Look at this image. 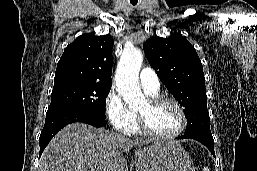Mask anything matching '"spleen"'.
<instances>
[{"instance_id":"3e777b00","label":"spleen","mask_w":257,"mask_h":171,"mask_svg":"<svg viewBox=\"0 0 257 171\" xmlns=\"http://www.w3.org/2000/svg\"><path fill=\"white\" fill-rule=\"evenodd\" d=\"M203 171H210L208 167H205Z\"/></svg>"}]
</instances>
